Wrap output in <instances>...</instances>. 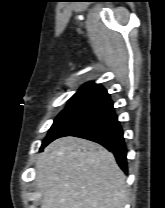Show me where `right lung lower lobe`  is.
<instances>
[{
    "instance_id": "right-lung-lower-lobe-1",
    "label": "right lung lower lobe",
    "mask_w": 165,
    "mask_h": 208,
    "mask_svg": "<svg viewBox=\"0 0 165 208\" xmlns=\"http://www.w3.org/2000/svg\"><path fill=\"white\" fill-rule=\"evenodd\" d=\"M76 136L97 142L115 155L120 168L127 173V150L113 102L108 99L91 109L57 138Z\"/></svg>"
}]
</instances>
